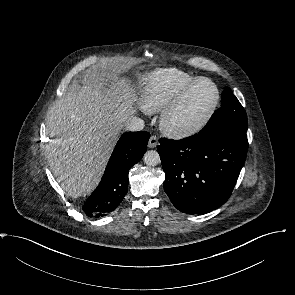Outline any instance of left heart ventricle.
I'll return each mask as SVG.
<instances>
[{"label": "left heart ventricle", "mask_w": 295, "mask_h": 295, "mask_svg": "<svg viewBox=\"0 0 295 295\" xmlns=\"http://www.w3.org/2000/svg\"><path fill=\"white\" fill-rule=\"evenodd\" d=\"M214 99V87L207 81L200 82L176 113L175 122L182 127L194 125L207 114Z\"/></svg>", "instance_id": "obj_1"}]
</instances>
